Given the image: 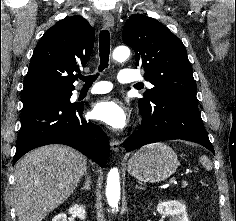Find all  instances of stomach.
<instances>
[{
	"label": "stomach",
	"instance_id": "0dacf381",
	"mask_svg": "<svg viewBox=\"0 0 236 221\" xmlns=\"http://www.w3.org/2000/svg\"><path fill=\"white\" fill-rule=\"evenodd\" d=\"M173 149L164 143L149 144L136 151L129 159L127 171L142 182H161L178 168Z\"/></svg>",
	"mask_w": 236,
	"mask_h": 221
}]
</instances>
